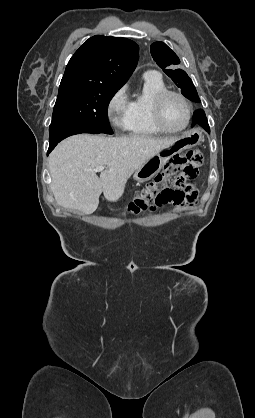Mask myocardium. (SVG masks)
<instances>
[{
    "instance_id": "obj_1",
    "label": "myocardium",
    "mask_w": 255,
    "mask_h": 418,
    "mask_svg": "<svg viewBox=\"0 0 255 418\" xmlns=\"http://www.w3.org/2000/svg\"><path fill=\"white\" fill-rule=\"evenodd\" d=\"M171 96H175L177 98H179L184 105L186 106L187 109V119L185 124L178 129H172L169 128L163 119V108H164V103L167 100V98L171 97ZM192 105L189 102V100L180 92L174 91V90H163L161 92H159L153 99L152 102V117H153V121L155 123V125L162 131L165 133H180L182 131H184L185 129L188 128L191 119H192Z\"/></svg>"
}]
</instances>
